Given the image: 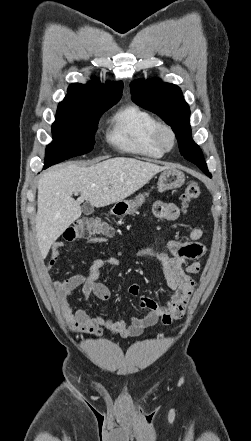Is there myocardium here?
Wrapping results in <instances>:
<instances>
[{"instance_id":"f54148a6","label":"myocardium","mask_w":251,"mask_h":441,"mask_svg":"<svg viewBox=\"0 0 251 441\" xmlns=\"http://www.w3.org/2000/svg\"><path fill=\"white\" fill-rule=\"evenodd\" d=\"M168 133L171 137V144L166 145L163 141V134ZM152 139L154 144L163 152L171 151L177 143V135L174 128L165 121H157L155 124Z\"/></svg>"}]
</instances>
